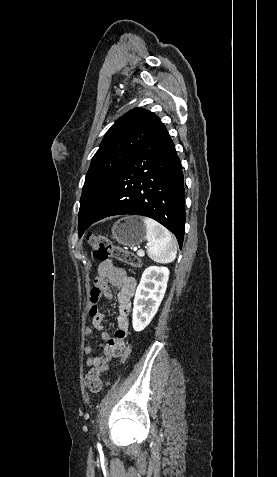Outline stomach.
I'll list each match as a JSON object with an SVG mask.
<instances>
[{"label": "stomach", "instance_id": "0dacf381", "mask_svg": "<svg viewBox=\"0 0 277 477\" xmlns=\"http://www.w3.org/2000/svg\"><path fill=\"white\" fill-rule=\"evenodd\" d=\"M112 238L126 247L139 245L146 238V226L142 217L127 216L114 223Z\"/></svg>", "mask_w": 277, "mask_h": 477}]
</instances>
